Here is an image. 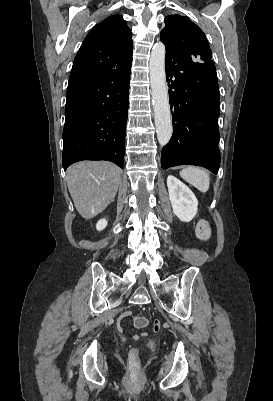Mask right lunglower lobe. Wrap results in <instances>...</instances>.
I'll use <instances>...</instances> for the list:
<instances>
[{
	"label": "right lung lower lobe",
	"mask_w": 273,
	"mask_h": 401,
	"mask_svg": "<svg viewBox=\"0 0 273 401\" xmlns=\"http://www.w3.org/2000/svg\"><path fill=\"white\" fill-rule=\"evenodd\" d=\"M131 61L67 91L62 155L65 170L81 160H107L123 168Z\"/></svg>",
	"instance_id": "right-lung-lower-lobe-1"
}]
</instances>
